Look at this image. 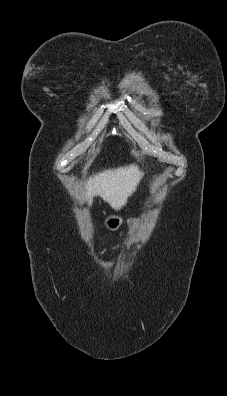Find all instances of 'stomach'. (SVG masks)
Returning <instances> with one entry per match:
<instances>
[{"mask_svg":"<svg viewBox=\"0 0 227 396\" xmlns=\"http://www.w3.org/2000/svg\"><path fill=\"white\" fill-rule=\"evenodd\" d=\"M122 223V218H120L119 216H115V215H110L108 217L105 218L104 224L105 226L112 231H115L119 228V226ZM139 223V219L138 218H133L129 221V224L131 226H133V228L131 229L132 233H135L137 231V227H135L137 224Z\"/></svg>","mask_w":227,"mask_h":396,"instance_id":"0dacf381","label":"stomach"}]
</instances>
